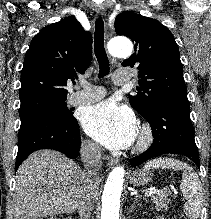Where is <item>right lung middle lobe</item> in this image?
Masks as SVG:
<instances>
[{
  "label": "right lung middle lobe",
  "mask_w": 211,
  "mask_h": 219,
  "mask_svg": "<svg viewBox=\"0 0 211 219\" xmlns=\"http://www.w3.org/2000/svg\"><path fill=\"white\" fill-rule=\"evenodd\" d=\"M21 125L43 118H54L69 122L73 112L66 106V98L44 97L21 103L19 109Z\"/></svg>",
  "instance_id": "dd1d6c3e"
}]
</instances>
